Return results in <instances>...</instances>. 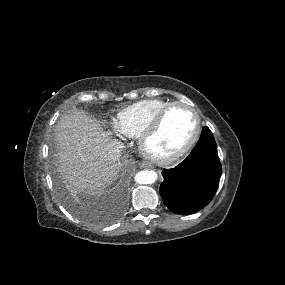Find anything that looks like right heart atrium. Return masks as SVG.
<instances>
[{"label":"right heart atrium","instance_id":"obj_1","mask_svg":"<svg viewBox=\"0 0 285 285\" xmlns=\"http://www.w3.org/2000/svg\"><path fill=\"white\" fill-rule=\"evenodd\" d=\"M112 130H113V132H114L115 134H117V135L120 136V137H130V136L126 135L125 133H123V132L120 130V128H119V126L117 125V123H116L115 120L112 122Z\"/></svg>","mask_w":285,"mask_h":285}]
</instances>
